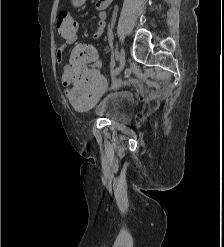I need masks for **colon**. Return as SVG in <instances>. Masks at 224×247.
<instances>
[{"label":"colon","instance_id":"obj_1","mask_svg":"<svg viewBox=\"0 0 224 247\" xmlns=\"http://www.w3.org/2000/svg\"><path fill=\"white\" fill-rule=\"evenodd\" d=\"M77 30V20L62 11L57 18L59 36L66 40L77 36ZM66 73L72 83L67 97L76 108L91 107L106 89V80L97 66V51L91 44L83 43L74 49Z\"/></svg>","mask_w":224,"mask_h":247}]
</instances>
